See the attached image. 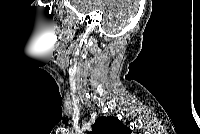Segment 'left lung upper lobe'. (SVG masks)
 Wrapping results in <instances>:
<instances>
[{"label": "left lung upper lobe", "instance_id": "left-lung-upper-lobe-1", "mask_svg": "<svg viewBox=\"0 0 200 134\" xmlns=\"http://www.w3.org/2000/svg\"><path fill=\"white\" fill-rule=\"evenodd\" d=\"M89 134H130V128L123 125L116 117H99Z\"/></svg>", "mask_w": 200, "mask_h": 134}]
</instances>
